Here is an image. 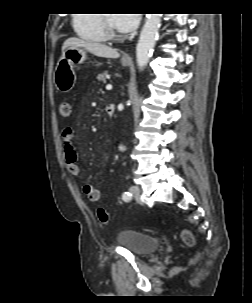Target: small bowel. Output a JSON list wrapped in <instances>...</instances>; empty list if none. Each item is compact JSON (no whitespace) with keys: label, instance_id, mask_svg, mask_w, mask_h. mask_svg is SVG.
<instances>
[{"label":"small bowel","instance_id":"small-bowel-1","mask_svg":"<svg viewBox=\"0 0 252 303\" xmlns=\"http://www.w3.org/2000/svg\"><path fill=\"white\" fill-rule=\"evenodd\" d=\"M62 151L68 173L78 177L80 169L77 165V151L73 143V131L70 127H65L62 132ZM83 192L92 203L99 202L102 196V191L90 183L83 185Z\"/></svg>","mask_w":252,"mask_h":303}]
</instances>
